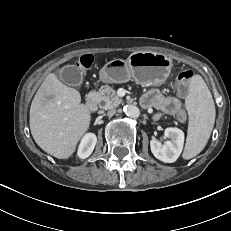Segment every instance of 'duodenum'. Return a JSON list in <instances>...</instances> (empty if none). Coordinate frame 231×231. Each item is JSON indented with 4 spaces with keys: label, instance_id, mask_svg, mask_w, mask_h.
Instances as JSON below:
<instances>
[{
    "label": "duodenum",
    "instance_id": "1",
    "mask_svg": "<svg viewBox=\"0 0 231 231\" xmlns=\"http://www.w3.org/2000/svg\"><path fill=\"white\" fill-rule=\"evenodd\" d=\"M85 107L89 112H94L97 109V99L95 94L90 93L85 102Z\"/></svg>",
    "mask_w": 231,
    "mask_h": 231
}]
</instances>
